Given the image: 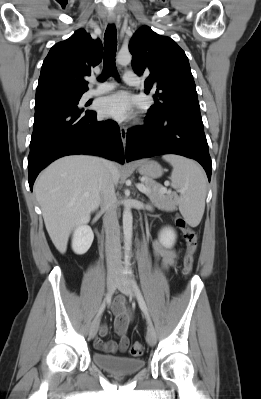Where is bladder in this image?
<instances>
[{"mask_svg": "<svg viewBox=\"0 0 261 399\" xmlns=\"http://www.w3.org/2000/svg\"><path fill=\"white\" fill-rule=\"evenodd\" d=\"M93 362L106 372L119 375H132L144 367V360L127 356L104 355L94 352Z\"/></svg>", "mask_w": 261, "mask_h": 399, "instance_id": "31cf9c89", "label": "bladder"}]
</instances>
